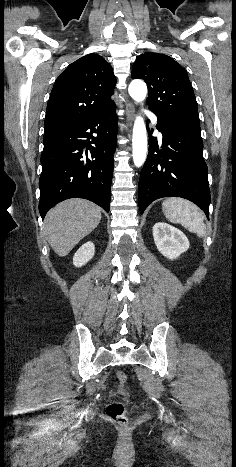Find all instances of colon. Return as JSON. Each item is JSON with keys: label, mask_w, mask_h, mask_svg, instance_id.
<instances>
[{"label": "colon", "mask_w": 236, "mask_h": 467, "mask_svg": "<svg viewBox=\"0 0 236 467\" xmlns=\"http://www.w3.org/2000/svg\"><path fill=\"white\" fill-rule=\"evenodd\" d=\"M116 377L118 379L120 388L123 390L127 381L125 373L123 371H117ZM105 412L107 417L113 422H116L121 426L128 425L127 408L123 402L117 401L108 404Z\"/></svg>", "instance_id": "1"}]
</instances>
